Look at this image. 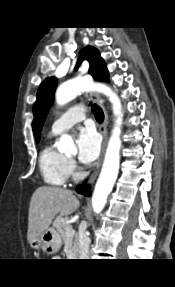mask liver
Masks as SVG:
<instances>
[{"mask_svg": "<svg viewBox=\"0 0 175 287\" xmlns=\"http://www.w3.org/2000/svg\"><path fill=\"white\" fill-rule=\"evenodd\" d=\"M79 206L80 202L71 190L53 186L37 188L30 200L28 242L30 243L33 238L49 229L53 218L57 214L67 217Z\"/></svg>", "mask_w": 175, "mask_h": 287, "instance_id": "obj_1", "label": "liver"}]
</instances>
